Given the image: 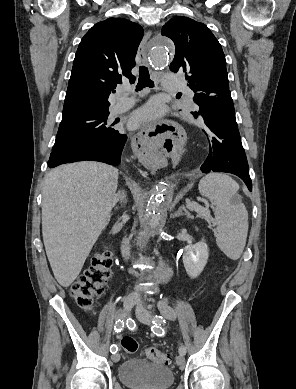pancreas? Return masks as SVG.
<instances>
[{
	"instance_id": "obj_1",
	"label": "pancreas",
	"mask_w": 296,
	"mask_h": 389,
	"mask_svg": "<svg viewBox=\"0 0 296 389\" xmlns=\"http://www.w3.org/2000/svg\"><path fill=\"white\" fill-rule=\"evenodd\" d=\"M204 210H207V209L200 206V210H195V211L199 214V216L202 217L203 216L202 215V211H204ZM186 215H187L188 218H192V216L190 215L189 212H187Z\"/></svg>"
}]
</instances>
